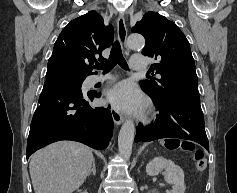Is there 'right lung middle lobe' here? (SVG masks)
Segmentation results:
<instances>
[{
	"label": "right lung middle lobe",
	"instance_id": "obj_1",
	"mask_svg": "<svg viewBox=\"0 0 237 193\" xmlns=\"http://www.w3.org/2000/svg\"><path fill=\"white\" fill-rule=\"evenodd\" d=\"M85 78H79V77H74L71 75H68L66 73H63L61 71L57 70H51L47 71V80L46 81H51V80H56L63 82L73 88L81 90V85L82 82L84 81Z\"/></svg>",
	"mask_w": 237,
	"mask_h": 193
}]
</instances>
